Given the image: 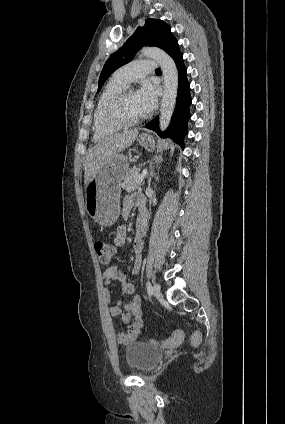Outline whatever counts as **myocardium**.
Wrapping results in <instances>:
<instances>
[{
    "instance_id": "obj_1",
    "label": "myocardium",
    "mask_w": 285,
    "mask_h": 424,
    "mask_svg": "<svg viewBox=\"0 0 285 424\" xmlns=\"http://www.w3.org/2000/svg\"><path fill=\"white\" fill-rule=\"evenodd\" d=\"M131 92V90L125 88L109 102L103 113V121L106 125L118 128H127L135 126L147 118V115L145 114L137 119L128 120L122 115V104L126 96Z\"/></svg>"
}]
</instances>
